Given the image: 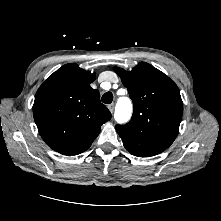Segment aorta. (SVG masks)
Masks as SVG:
<instances>
[{
  "mask_svg": "<svg viewBox=\"0 0 221 221\" xmlns=\"http://www.w3.org/2000/svg\"><path fill=\"white\" fill-rule=\"evenodd\" d=\"M132 113V103L129 98L127 97H122L119 98L116 104V109H115V120L118 123H125L127 122Z\"/></svg>",
  "mask_w": 221,
  "mask_h": 221,
  "instance_id": "1",
  "label": "aorta"
}]
</instances>
